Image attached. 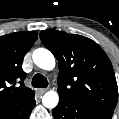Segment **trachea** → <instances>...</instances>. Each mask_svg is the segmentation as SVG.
<instances>
[{
	"mask_svg": "<svg viewBox=\"0 0 119 119\" xmlns=\"http://www.w3.org/2000/svg\"><path fill=\"white\" fill-rule=\"evenodd\" d=\"M32 86L35 88H46L48 81L42 74L37 73L32 78Z\"/></svg>",
	"mask_w": 119,
	"mask_h": 119,
	"instance_id": "1",
	"label": "trachea"
}]
</instances>
